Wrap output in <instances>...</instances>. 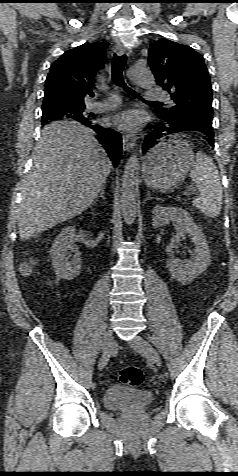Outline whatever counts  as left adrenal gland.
<instances>
[{
	"label": "left adrenal gland",
	"mask_w": 238,
	"mask_h": 476,
	"mask_svg": "<svg viewBox=\"0 0 238 476\" xmlns=\"http://www.w3.org/2000/svg\"><path fill=\"white\" fill-rule=\"evenodd\" d=\"M152 199H158V198L151 197V196H150V191H148V192H147V197H146V199L144 200V203H145L146 201L152 200Z\"/></svg>",
	"instance_id": "a2214340"
}]
</instances>
